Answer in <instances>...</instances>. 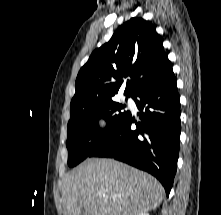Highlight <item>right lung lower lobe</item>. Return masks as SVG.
Returning a JSON list of instances; mask_svg holds the SVG:
<instances>
[{
    "mask_svg": "<svg viewBox=\"0 0 221 215\" xmlns=\"http://www.w3.org/2000/svg\"><path fill=\"white\" fill-rule=\"evenodd\" d=\"M140 113L129 112L88 157H110L155 176L168 196L176 174L180 144V101L173 71L133 97ZM135 123L137 129L131 128Z\"/></svg>",
    "mask_w": 221,
    "mask_h": 215,
    "instance_id": "obj_1",
    "label": "right lung lower lobe"
}]
</instances>
